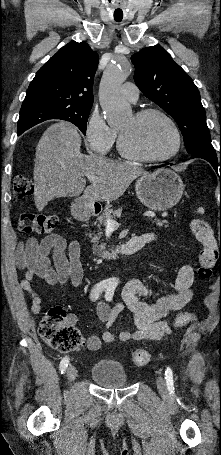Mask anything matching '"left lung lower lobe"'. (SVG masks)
<instances>
[{
    "mask_svg": "<svg viewBox=\"0 0 221 455\" xmlns=\"http://www.w3.org/2000/svg\"><path fill=\"white\" fill-rule=\"evenodd\" d=\"M191 158H202L207 160L213 168L216 170L218 173V170H220L221 173V156H220V161L217 158L216 152L215 151H208V150H196L193 153L190 154ZM162 166H155V168L163 167Z\"/></svg>",
    "mask_w": 221,
    "mask_h": 455,
    "instance_id": "1",
    "label": "left lung lower lobe"
}]
</instances>
